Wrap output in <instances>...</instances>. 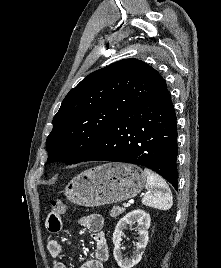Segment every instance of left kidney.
I'll return each instance as SVG.
<instances>
[{"mask_svg":"<svg viewBox=\"0 0 221 268\" xmlns=\"http://www.w3.org/2000/svg\"><path fill=\"white\" fill-rule=\"evenodd\" d=\"M138 223V233L139 238L136 243V250L134 251L131 258L124 259L122 250H121V235L123 230L127 225L132 223ZM151 218L148 213L143 210L137 209L127 213L120 221L117 223L115 231L113 233V244H114V258L117 261V264L121 268H132L134 265L139 263L144 253V249L148 243V229L150 227Z\"/></svg>","mask_w":221,"mask_h":268,"instance_id":"1","label":"left kidney"}]
</instances>
